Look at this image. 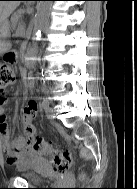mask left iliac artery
Returning a JSON list of instances; mask_svg holds the SVG:
<instances>
[{"label": "left iliac artery", "instance_id": "44dca946", "mask_svg": "<svg viewBox=\"0 0 137 189\" xmlns=\"http://www.w3.org/2000/svg\"><path fill=\"white\" fill-rule=\"evenodd\" d=\"M48 105H49V99L46 98V99H44V101H43V106H48Z\"/></svg>", "mask_w": 137, "mask_h": 189}]
</instances>
